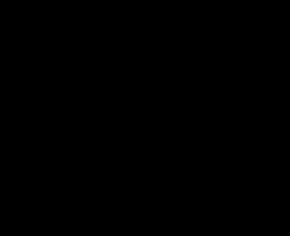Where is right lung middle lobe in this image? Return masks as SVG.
<instances>
[{"label": "right lung middle lobe", "mask_w": 290, "mask_h": 236, "mask_svg": "<svg viewBox=\"0 0 290 236\" xmlns=\"http://www.w3.org/2000/svg\"><path fill=\"white\" fill-rule=\"evenodd\" d=\"M137 57L136 50L128 45L84 51L60 74L53 90L52 110H131L124 79Z\"/></svg>", "instance_id": "right-lung-middle-lobe-1"}]
</instances>
